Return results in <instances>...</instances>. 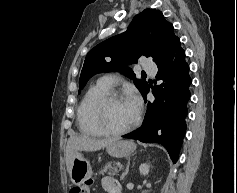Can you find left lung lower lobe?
<instances>
[{
  "label": "left lung lower lobe",
  "mask_w": 237,
  "mask_h": 193,
  "mask_svg": "<svg viewBox=\"0 0 237 193\" xmlns=\"http://www.w3.org/2000/svg\"><path fill=\"white\" fill-rule=\"evenodd\" d=\"M156 64L158 66L156 78L163 82L152 87L155 100L148 102L142 126L124 135L123 138L161 144L176 163L186 131L185 117L187 101L190 98L189 86L192 82L188 74L189 66L185 61V52L180 46L179 39ZM149 90L148 85L142 93L145 102Z\"/></svg>",
  "instance_id": "0a47b994"
}]
</instances>
